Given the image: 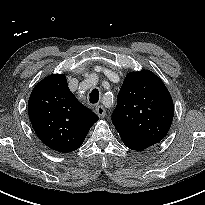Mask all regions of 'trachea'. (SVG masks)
Here are the masks:
<instances>
[{"label":"trachea","instance_id":"3493384b","mask_svg":"<svg viewBox=\"0 0 205 205\" xmlns=\"http://www.w3.org/2000/svg\"><path fill=\"white\" fill-rule=\"evenodd\" d=\"M99 91L98 89H93L89 95V101L92 103V104H96L98 103L99 101Z\"/></svg>","mask_w":205,"mask_h":205}]
</instances>
